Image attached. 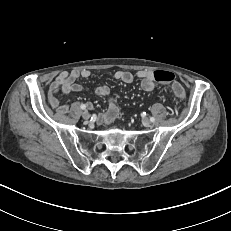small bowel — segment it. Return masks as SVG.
Here are the masks:
<instances>
[{
	"instance_id": "obj_1",
	"label": "small bowel",
	"mask_w": 231,
	"mask_h": 231,
	"mask_svg": "<svg viewBox=\"0 0 231 231\" xmlns=\"http://www.w3.org/2000/svg\"><path fill=\"white\" fill-rule=\"evenodd\" d=\"M91 75V71L87 69L73 70L71 72H61L53 81L50 86L49 101L53 107H57L60 113H66L68 111L67 105H59L58 93L62 92L68 95L73 92H80L83 90V86L77 81L81 78H88ZM116 80L124 83H132L134 75L125 70H118L113 74ZM136 77L140 80L141 88L147 92L153 91L155 88L153 71L139 70L136 73ZM95 93L102 97H108V107L104 113L99 116V122L110 124L118 115V105L115 98L110 97V89L108 86H99L95 88ZM88 108H92L90 102L87 103Z\"/></svg>"
}]
</instances>
